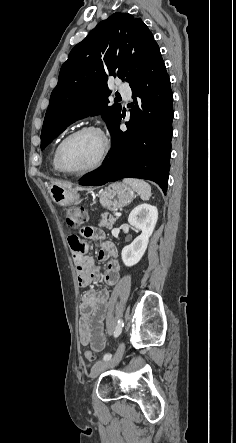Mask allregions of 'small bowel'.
I'll return each mask as SVG.
<instances>
[{
	"label": "small bowel",
	"mask_w": 236,
	"mask_h": 443,
	"mask_svg": "<svg viewBox=\"0 0 236 443\" xmlns=\"http://www.w3.org/2000/svg\"><path fill=\"white\" fill-rule=\"evenodd\" d=\"M91 231L92 235L90 237L72 234L68 239L73 251L78 285L86 287L91 281L100 277V271L94 258L86 254L87 247L83 244V237H85L93 239L100 245L98 259L106 262V270L102 278L108 285L115 286L120 279L117 248L113 243L106 241L102 230L93 228ZM109 295L107 289L88 290L83 294L79 307L80 342L82 345H91L97 351L104 346V320L107 315Z\"/></svg>",
	"instance_id": "small-bowel-1"
}]
</instances>
